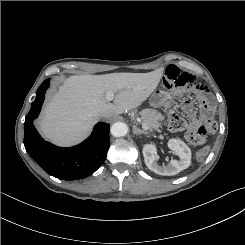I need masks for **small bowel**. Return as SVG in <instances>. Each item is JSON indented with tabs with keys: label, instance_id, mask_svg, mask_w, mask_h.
Masks as SVG:
<instances>
[{
	"label": "small bowel",
	"instance_id": "obj_1",
	"mask_svg": "<svg viewBox=\"0 0 245 245\" xmlns=\"http://www.w3.org/2000/svg\"><path fill=\"white\" fill-rule=\"evenodd\" d=\"M165 79H166V83L171 87L172 86L194 87V89L189 93L188 96L189 101L191 100L199 101L206 94L205 87L198 84V80L194 75L186 72H181L179 69H177L174 66H170L167 69L165 74ZM184 108L188 114H192L193 108L190 102H186ZM212 113H213V109L211 108V106L205 104L202 108V117L207 118L211 116ZM200 123L201 121L199 119L192 118L189 125V129L195 130L200 125Z\"/></svg>",
	"mask_w": 245,
	"mask_h": 245
}]
</instances>
